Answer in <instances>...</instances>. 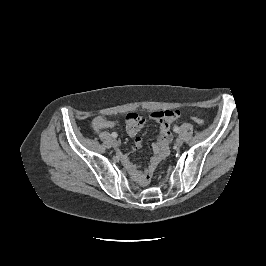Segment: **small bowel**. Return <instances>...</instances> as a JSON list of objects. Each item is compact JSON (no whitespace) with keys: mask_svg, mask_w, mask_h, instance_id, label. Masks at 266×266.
<instances>
[{"mask_svg":"<svg viewBox=\"0 0 266 266\" xmlns=\"http://www.w3.org/2000/svg\"><path fill=\"white\" fill-rule=\"evenodd\" d=\"M179 116L180 111L175 109L153 112L148 118H144L136 113H130L125 117L127 132L130 136L134 137L135 146L137 148L142 145V139L138 136V133L148 121L155 122L160 127L158 141L152 146L155 155L151 159L150 164L144 173H140L132 163H130L126 158H123L125 167L132 171L136 177L142 180L147 179L157 164L168 155L169 146L172 141L170 126L179 118ZM114 125L115 123L113 121L101 116L95 117L92 121V128L96 133L106 128H112Z\"/></svg>","mask_w":266,"mask_h":266,"instance_id":"small-bowel-1","label":"small bowel"}]
</instances>
